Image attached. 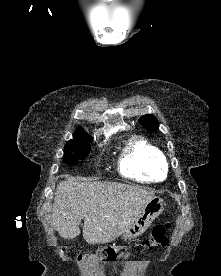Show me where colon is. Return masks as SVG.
<instances>
[{
    "label": "colon",
    "mask_w": 221,
    "mask_h": 276,
    "mask_svg": "<svg viewBox=\"0 0 221 276\" xmlns=\"http://www.w3.org/2000/svg\"><path fill=\"white\" fill-rule=\"evenodd\" d=\"M170 227V223L158 224L153 228L151 235L142 242H130V244H120V246L100 245V249L95 253L80 255V258L100 262H114L120 257L121 252L128 253L133 247L165 246L168 242L167 235Z\"/></svg>",
    "instance_id": "1"
}]
</instances>
